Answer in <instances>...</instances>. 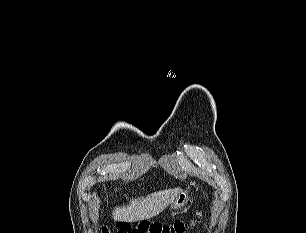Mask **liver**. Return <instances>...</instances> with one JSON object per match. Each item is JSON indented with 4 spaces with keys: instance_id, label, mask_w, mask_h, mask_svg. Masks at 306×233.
Here are the masks:
<instances>
[{
    "instance_id": "obj_1",
    "label": "liver",
    "mask_w": 306,
    "mask_h": 233,
    "mask_svg": "<svg viewBox=\"0 0 306 233\" xmlns=\"http://www.w3.org/2000/svg\"><path fill=\"white\" fill-rule=\"evenodd\" d=\"M181 192L180 188L154 192L145 198L130 200L128 206L116 207L112 212L115 221L136 222L150 219L168 207Z\"/></svg>"
}]
</instances>
